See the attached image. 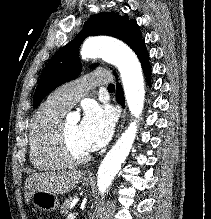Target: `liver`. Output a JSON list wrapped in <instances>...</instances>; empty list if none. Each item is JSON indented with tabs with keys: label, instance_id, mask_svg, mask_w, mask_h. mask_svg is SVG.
I'll list each match as a JSON object with an SVG mask.
<instances>
[{
	"label": "liver",
	"instance_id": "6515ba94",
	"mask_svg": "<svg viewBox=\"0 0 211 219\" xmlns=\"http://www.w3.org/2000/svg\"><path fill=\"white\" fill-rule=\"evenodd\" d=\"M83 177L82 171H59L31 174L26 179L25 199L29 202L36 191H46L53 194H65L73 190Z\"/></svg>",
	"mask_w": 211,
	"mask_h": 219
}]
</instances>
